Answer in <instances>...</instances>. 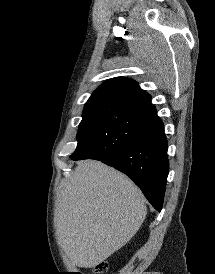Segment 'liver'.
<instances>
[{
    "mask_svg": "<svg viewBox=\"0 0 215 274\" xmlns=\"http://www.w3.org/2000/svg\"><path fill=\"white\" fill-rule=\"evenodd\" d=\"M147 214L140 189L100 161L78 164L58 193L55 226L68 259L96 267L137 233Z\"/></svg>",
    "mask_w": 215,
    "mask_h": 274,
    "instance_id": "obj_1",
    "label": "liver"
}]
</instances>
